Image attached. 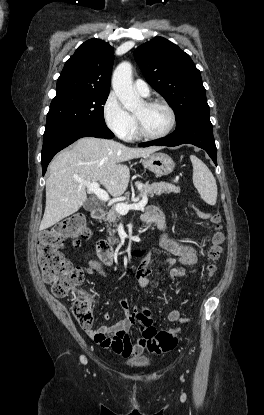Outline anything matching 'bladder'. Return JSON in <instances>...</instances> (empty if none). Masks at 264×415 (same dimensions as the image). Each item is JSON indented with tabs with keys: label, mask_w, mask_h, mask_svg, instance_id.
Returning a JSON list of instances; mask_svg holds the SVG:
<instances>
[{
	"label": "bladder",
	"mask_w": 264,
	"mask_h": 415,
	"mask_svg": "<svg viewBox=\"0 0 264 415\" xmlns=\"http://www.w3.org/2000/svg\"><path fill=\"white\" fill-rule=\"evenodd\" d=\"M128 365L134 366V367H147L149 366L150 362L148 359L146 358H138V359H133V360H129L127 362Z\"/></svg>",
	"instance_id": "31cf9c89"
}]
</instances>
